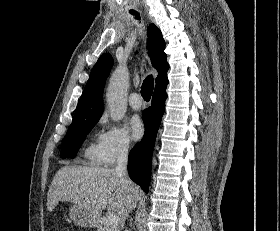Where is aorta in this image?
Listing matches in <instances>:
<instances>
[{"mask_svg":"<svg viewBox=\"0 0 280 231\" xmlns=\"http://www.w3.org/2000/svg\"><path fill=\"white\" fill-rule=\"evenodd\" d=\"M127 84V68L125 66H118L109 80L106 92V102L113 121H119L127 112Z\"/></svg>","mask_w":280,"mask_h":231,"instance_id":"762f6f07","label":"aorta"}]
</instances>
